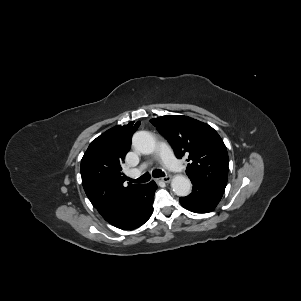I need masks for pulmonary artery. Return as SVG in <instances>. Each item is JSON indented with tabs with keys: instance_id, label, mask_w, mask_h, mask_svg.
<instances>
[{
	"instance_id": "pulmonary-artery-1",
	"label": "pulmonary artery",
	"mask_w": 301,
	"mask_h": 301,
	"mask_svg": "<svg viewBox=\"0 0 301 301\" xmlns=\"http://www.w3.org/2000/svg\"><path fill=\"white\" fill-rule=\"evenodd\" d=\"M157 155L164 163V165L174 172H183V166L181 163L175 158L171 149L165 143H160L157 148ZM147 163L142 164L139 168L133 169L130 172L131 177L138 176L146 167Z\"/></svg>"
}]
</instances>
